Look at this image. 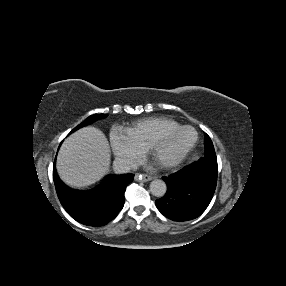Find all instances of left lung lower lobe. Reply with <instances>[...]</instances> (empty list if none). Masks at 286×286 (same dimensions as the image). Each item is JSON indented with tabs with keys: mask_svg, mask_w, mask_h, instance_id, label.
<instances>
[{
	"mask_svg": "<svg viewBox=\"0 0 286 286\" xmlns=\"http://www.w3.org/2000/svg\"><path fill=\"white\" fill-rule=\"evenodd\" d=\"M217 173V158L213 152L205 154L178 172L163 177L167 192L156 200V207L164 216L175 221L199 217L213 197Z\"/></svg>",
	"mask_w": 286,
	"mask_h": 286,
	"instance_id": "1",
	"label": "left lung lower lobe"
}]
</instances>
